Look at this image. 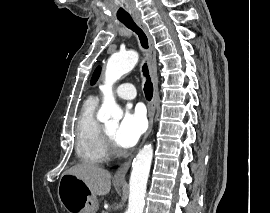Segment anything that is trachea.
<instances>
[{"label":"trachea","mask_w":270,"mask_h":213,"mask_svg":"<svg viewBox=\"0 0 270 213\" xmlns=\"http://www.w3.org/2000/svg\"><path fill=\"white\" fill-rule=\"evenodd\" d=\"M127 28L131 29L135 32L140 40L141 46L145 49L148 48V39L144 31L133 21L132 18L122 19L120 20ZM143 75L146 77V82L144 84V93L147 100H151L153 97V84L151 82V78L149 76V70L147 63H145L142 67Z\"/></svg>","instance_id":"1"}]
</instances>
